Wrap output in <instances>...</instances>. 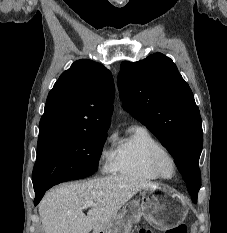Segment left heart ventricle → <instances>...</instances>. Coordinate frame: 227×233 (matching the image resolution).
<instances>
[{
    "instance_id": "obj_1",
    "label": "left heart ventricle",
    "mask_w": 227,
    "mask_h": 233,
    "mask_svg": "<svg viewBox=\"0 0 227 233\" xmlns=\"http://www.w3.org/2000/svg\"><path fill=\"white\" fill-rule=\"evenodd\" d=\"M163 171L166 174H170L171 171H172V166H171V163H170V161L168 159L163 160Z\"/></svg>"
}]
</instances>
